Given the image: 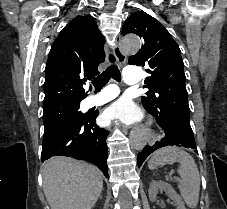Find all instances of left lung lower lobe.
I'll use <instances>...</instances> for the list:
<instances>
[{
    "label": "left lung lower lobe",
    "mask_w": 227,
    "mask_h": 209,
    "mask_svg": "<svg viewBox=\"0 0 227 209\" xmlns=\"http://www.w3.org/2000/svg\"><path fill=\"white\" fill-rule=\"evenodd\" d=\"M157 123L165 131V138L156 142L153 146H145L142 152L138 154L137 164L140 167L145 159L154 150L165 146H179L194 149L196 153V144L191 126L179 122L174 118L155 116Z\"/></svg>",
    "instance_id": "1"
}]
</instances>
